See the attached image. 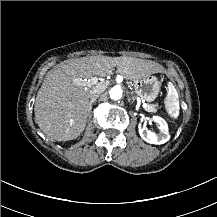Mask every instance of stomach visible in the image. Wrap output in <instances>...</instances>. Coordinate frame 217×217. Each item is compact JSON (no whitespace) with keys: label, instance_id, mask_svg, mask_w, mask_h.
Listing matches in <instances>:
<instances>
[{"label":"stomach","instance_id":"1","mask_svg":"<svg viewBox=\"0 0 217 217\" xmlns=\"http://www.w3.org/2000/svg\"><path fill=\"white\" fill-rule=\"evenodd\" d=\"M135 92L148 101H153L161 89V81L154 75L137 80L134 85Z\"/></svg>","mask_w":217,"mask_h":217}]
</instances>
